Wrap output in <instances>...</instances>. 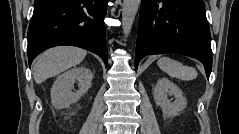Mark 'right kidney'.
<instances>
[{
	"label": "right kidney",
	"instance_id": "right-kidney-1",
	"mask_svg": "<svg viewBox=\"0 0 239 134\" xmlns=\"http://www.w3.org/2000/svg\"><path fill=\"white\" fill-rule=\"evenodd\" d=\"M93 74L86 67H76L58 76L51 88V102L56 109L67 108L78 101L91 87ZM79 89L72 92L74 83Z\"/></svg>",
	"mask_w": 239,
	"mask_h": 134
}]
</instances>
